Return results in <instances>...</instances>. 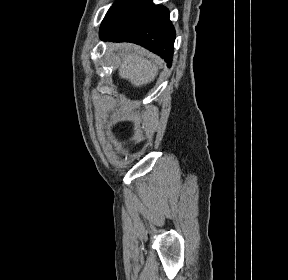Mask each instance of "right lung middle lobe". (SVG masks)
<instances>
[{
	"label": "right lung middle lobe",
	"instance_id": "obj_1",
	"mask_svg": "<svg viewBox=\"0 0 288 280\" xmlns=\"http://www.w3.org/2000/svg\"><path fill=\"white\" fill-rule=\"evenodd\" d=\"M125 0H118L117 2H115L110 9L114 8L115 6L121 4L122 2H124Z\"/></svg>",
	"mask_w": 288,
	"mask_h": 280
}]
</instances>
